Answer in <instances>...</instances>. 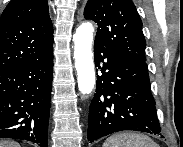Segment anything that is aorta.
<instances>
[{
  "label": "aorta",
  "mask_w": 183,
  "mask_h": 147,
  "mask_svg": "<svg viewBox=\"0 0 183 147\" xmlns=\"http://www.w3.org/2000/svg\"><path fill=\"white\" fill-rule=\"evenodd\" d=\"M93 32V25L90 22H84L76 29L73 36L78 88L82 94H90L95 85L92 53Z\"/></svg>",
  "instance_id": "obj_1"
}]
</instances>
